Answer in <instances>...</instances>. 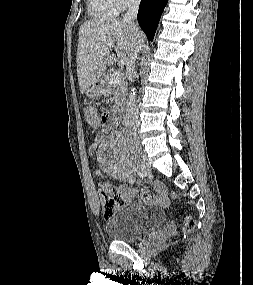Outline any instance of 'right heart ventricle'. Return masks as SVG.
Instances as JSON below:
<instances>
[{"label": "right heart ventricle", "instance_id": "obj_1", "mask_svg": "<svg viewBox=\"0 0 253 285\" xmlns=\"http://www.w3.org/2000/svg\"><path fill=\"white\" fill-rule=\"evenodd\" d=\"M91 16L98 19H110L118 15L119 8L114 0H88Z\"/></svg>", "mask_w": 253, "mask_h": 285}]
</instances>
